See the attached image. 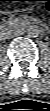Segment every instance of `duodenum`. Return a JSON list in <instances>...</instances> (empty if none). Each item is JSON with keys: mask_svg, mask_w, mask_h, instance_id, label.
<instances>
[{"mask_svg": "<svg viewBox=\"0 0 50 111\" xmlns=\"http://www.w3.org/2000/svg\"><path fill=\"white\" fill-rule=\"evenodd\" d=\"M36 24L39 25V24H41V23H40V22H37V23H36V22H34V21H32V20H28V21H27V26H34V25H36Z\"/></svg>", "mask_w": 50, "mask_h": 111, "instance_id": "1", "label": "duodenum"}]
</instances>
